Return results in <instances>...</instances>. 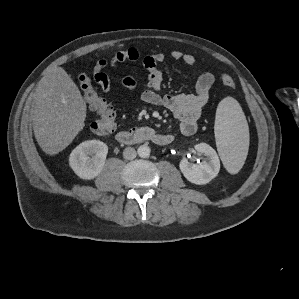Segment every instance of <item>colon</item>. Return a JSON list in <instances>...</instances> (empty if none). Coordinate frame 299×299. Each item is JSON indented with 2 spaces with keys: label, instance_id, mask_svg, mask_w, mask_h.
I'll use <instances>...</instances> for the list:
<instances>
[{
  "label": "colon",
  "instance_id": "1",
  "mask_svg": "<svg viewBox=\"0 0 299 299\" xmlns=\"http://www.w3.org/2000/svg\"><path fill=\"white\" fill-rule=\"evenodd\" d=\"M78 80L84 100L97 115L96 120L91 124L92 132L101 136L110 135L116 128L117 115L114 108L95 91L91 78L87 74L79 75ZM221 81L229 89L236 87L233 78L226 73L221 75Z\"/></svg>",
  "mask_w": 299,
  "mask_h": 299
}]
</instances>
